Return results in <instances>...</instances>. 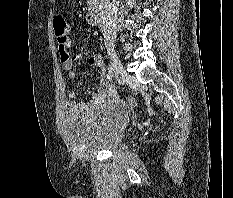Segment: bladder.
<instances>
[{
  "mask_svg": "<svg viewBox=\"0 0 233 198\" xmlns=\"http://www.w3.org/2000/svg\"><path fill=\"white\" fill-rule=\"evenodd\" d=\"M129 113L118 101L88 113L68 110L62 122L68 145L79 153L115 151L125 141Z\"/></svg>",
  "mask_w": 233,
  "mask_h": 198,
  "instance_id": "obj_1",
  "label": "bladder"
}]
</instances>
